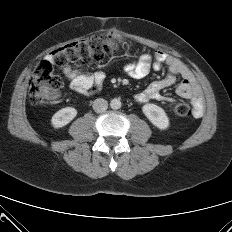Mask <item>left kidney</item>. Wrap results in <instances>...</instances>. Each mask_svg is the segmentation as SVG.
<instances>
[{"label": "left kidney", "instance_id": "left-kidney-1", "mask_svg": "<svg viewBox=\"0 0 232 232\" xmlns=\"http://www.w3.org/2000/svg\"><path fill=\"white\" fill-rule=\"evenodd\" d=\"M142 111L155 127L161 130H165L169 127V118L161 107L148 103L142 107Z\"/></svg>", "mask_w": 232, "mask_h": 232}]
</instances>
